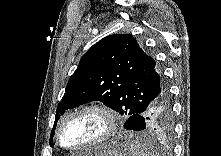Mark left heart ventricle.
Instances as JSON below:
<instances>
[{"label": "left heart ventricle", "instance_id": "obj_1", "mask_svg": "<svg viewBox=\"0 0 221 156\" xmlns=\"http://www.w3.org/2000/svg\"><path fill=\"white\" fill-rule=\"evenodd\" d=\"M104 129L103 118L92 112L71 118L63 127L61 140L66 147L83 146L95 140Z\"/></svg>", "mask_w": 221, "mask_h": 156}]
</instances>
